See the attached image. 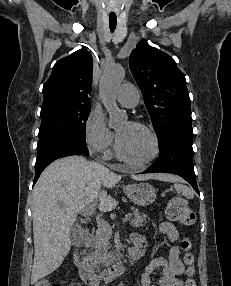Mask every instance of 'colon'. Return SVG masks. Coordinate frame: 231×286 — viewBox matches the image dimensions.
I'll return each mask as SVG.
<instances>
[{"mask_svg": "<svg viewBox=\"0 0 231 286\" xmlns=\"http://www.w3.org/2000/svg\"><path fill=\"white\" fill-rule=\"evenodd\" d=\"M166 213L169 219L181 222L184 225H192L195 222V214L188 205L187 201L181 197H173L167 205ZM182 248L185 251L184 261L187 265V280L185 286H196L194 280V255L192 253V242L189 238L182 241ZM35 286H59L48 279L39 280Z\"/></svg>", "mask_w": 231, "mask_h": 286, "instance_id": "obj_1", "label": "colon"}]
</instances>
